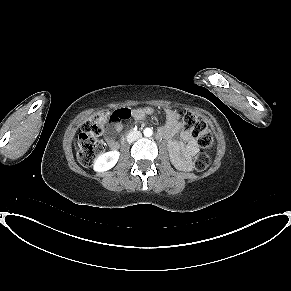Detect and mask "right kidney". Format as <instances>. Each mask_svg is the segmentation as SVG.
I'll list each match as a JSON object with an SVG mask.
<instances>
[{
    "instance_id": "right-kidney-1",
    "label": "right kidney",
    "mask_w": 291,
    "mask_h": 291,
    "mask_svg": "<svg viewBox=\"0 0 291 291\" xmlns=\"http://www.w3.org/2000/svg\"><path fill=\"white\" fill-rule=\"evenodd\" d=\"M120 153L118 151H109L100 155L94 162L93 169L98 172H103L115 166L119 159Z\"/></svg>"
}]
</instances>
